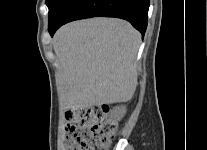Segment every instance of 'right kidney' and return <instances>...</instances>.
Segmentation results:
<instances>
[{
    "instance_id": "ca27d5eb",
    "label": "right kidney",
    "mask_w": 207,
    "mask_h": 150,
    "mask_svg": "<svg viewBox=\"0 0 207 150\" xmlns=\"http://www.w3.org/2000/svg\"><path fill=\"white\" fill-rule=\"evenodd\" d=\"M125 113H126V107L125 106L116 107L115 110H114V115L118 119L122 118Z\"/></svg>"
}]
</instances>
